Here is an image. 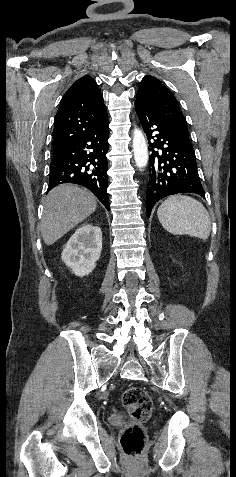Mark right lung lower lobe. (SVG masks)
<instances>
[{
	"label": "right lung lower lobe",
	"instance_id": "1",
	"mask_svg": "<svg viewBox=\"0 0 236 477\" xmlns=\"http://www.w3.org/2000/svg\"><path fill=\"white\" fill-rule=\"evenodd\" d=\"M108 121L84 135L77 142L53 155L49 189L59 184L74 183L88 188L109 210L107 194L109 149Z\"/></svg>",
	"mask_w": 236,
	"mask_h": 477
}]
</instances>
